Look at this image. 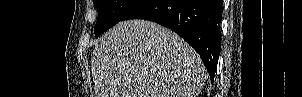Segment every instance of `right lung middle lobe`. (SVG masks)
Listing matches in <instances>:
<instances>
[{"label": "right lung middle lobe", "instance_id": "right-lung-middle-lobe-1", "mask_svg": "<svg viewBox=\"0 0 302 97\" xmlns=\"http://www.w3.org/2000/svg\"><path fill=\"white\" fill-rule=\"evenodd\" d=\"M141 0H93L98 11L94 27L96 36L122 21L125 14Z\"/></svg>", "mask_w": 302, "mask_h": 97}]
</instances>
